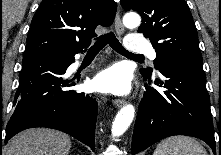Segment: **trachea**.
I'll return each mask as SVG.
<instances>
[{
	"instance_id": "3493384b",
	"label": "trachea",
	"mask_w": 221,
	"mask_h": 155,
	"mask_svg": "<svg viewBox=\"0 0 221 155\" xmlns=\"http://www.w3.org/2000/svg\"><path fill=\"white\" fill-rule=\"evenodd\" d=\"M107 44L111 46L113 50L120 53L121 55L132 57V58H143V55L133 54L125 50L122 44L118 41L113 32H109L100 38L96 39L95 43L90 47L89 52L98 53Z\"/></svg>"
}]
</instances>
